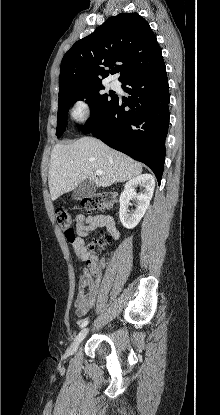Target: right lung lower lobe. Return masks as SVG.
Returning <instances> with one entry per match:
<instances>
[{"instance_id": "98d812e1", "label": "right lung lower lobe", "mask_w": 220, "mask_h": 415, "mask_svg": "<svg viewBox=\"0 0 220 415\" xmlns=\"http://www.w3.org/2000/svg\"><path fill=\"white\" fill-rule=\"evenodd\" d=\"M130 100L116 96L105 121L92 133L108 146L146 164L160 184L169 125V87L164 61L122 81ZM129 109L125 110V107Z\"/></svg>"}]
</instances>
